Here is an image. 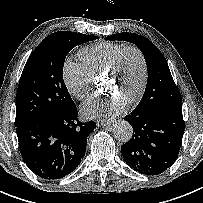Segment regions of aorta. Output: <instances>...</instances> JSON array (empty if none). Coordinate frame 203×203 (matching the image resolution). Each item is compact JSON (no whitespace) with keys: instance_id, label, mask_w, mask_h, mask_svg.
I'll use <instances>...</instances> for the list:
<instances>
[{"instance_id":"762f6f07","label":"aorta","mask_w":203,"mask_h":203,"mask_svg":"<svg viewBox=\"0 0 203 203\" xmlns=\"http://www.w3.org/2000/svg\"><path fill=\"white\" fill-rule=\"evenodd\" d=\"M114 137L121 142H128L133 135L132 125L124 120L116 121L113 125Z\"/></svg>"}]
</instances>
